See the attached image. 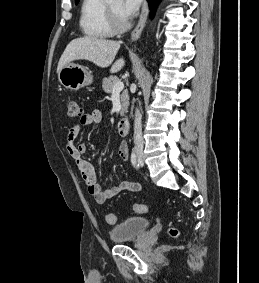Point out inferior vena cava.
I'll return each instance as SVG.
<instances>
[{
	"instance_id": "inferior-vena-cava-1",
	"label": "inferior vena cava",
	"mask_w": 259,
	"mask_h": 283,
	"mask_svg": "<svg viewBox=\"0 0 259 283\" xmlns=\"http://www.w3.org/2000/svg\"><path fill=\"white\" fill-rule=\"evenodd\" d=\"M134 144L136 149H143V137H142V125H141V114L138 109L135 112L134 122Z\"/></svg>"
}]
</instances>
